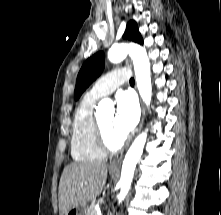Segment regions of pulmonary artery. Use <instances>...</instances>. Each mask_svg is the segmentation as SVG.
<instances>
[{
	"mask_svg": "<svg viewBox=\"0 0 221 215\" xmlns=\"http://www.w3.org/2000/svg\"><path fill=\"white\" fill-rule=\"evenodd\" d=\"M130 75V71L126 68L113 70L101 77L89 91V94L96 98L107 96L121 84L128 82Z\"/></svg>",
	"mask_w": 221,
	"mask_h": 215,
	"instance_id": "1",
	"label": "pulmonary artery"
}]
</instances>
